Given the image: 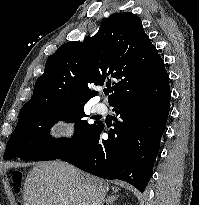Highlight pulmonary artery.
<instances>
[{"mask_svg":"<svg viewBox=\"0 0 199 205\" xmlns=\"http://www.w3.org/2000/svg\"><path fill=\"white\" fill-rule=\"evenodd\" d=\"M94 108L97 113H106L107 111V106L104 103H97Z\"/></svg>","mask_w":199,"mask_h":205,"instance_id":"e3ab8cb5","label":"pulmonary artery"}]
</instances>
